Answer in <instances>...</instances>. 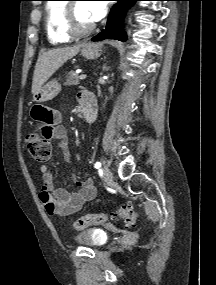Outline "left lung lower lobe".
Instances as JSON below:
<instances>
[{"label": "left lung lower lobe", "mask_w": 216, "mask_h": 285, "mask_svg": "<svg viewBox=\"0 0 216 285\" xmlns=\"http://www.w3.org/2000/svg\"><path fill=\"white\" fill-rule=\"evenodd\" d=\"M117 3L112 7L108 17L107 25L98 35L92 38V41H100L104 39H118L124 41L126 39L122 29V20L126 10L136 1L141 0H115Z\"/></svg>", "instance_id": "1"}]
</instances>
